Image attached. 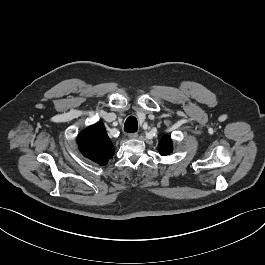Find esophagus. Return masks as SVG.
<instances>
[{"mask_svg":"<svg viewBox=\"0 0 265 265\" xmlns=\"http://www.w3.org/2000/svg\"><path fill=\"white\" fill-rule=\"evenodd\" d=\"M128 137H129L130 139H136V138L138 137V133H130V134L128 135Z\"/></svg>","mask_w":265,"mask_h":265,"instance_id":"1","label":"esophagus"}]
</instances>
